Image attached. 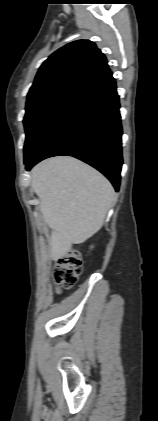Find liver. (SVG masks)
Returning a JSON list of instances; mask_svg holds the SVG:
<instances>
[{
  "label": "liver",
  "instance_id": "liver-1",
  "mask_svg": "<svg viewBox=\"0 0 158 421\" xmlns=\"http://www.w3.org/2000/svg\"><path fill=\"white\" fill-rule=\"evenodd\" d=\"M32 189L51 228L53 260L64 257L72 244H81L103 226L114 201V188L97 170L71 157H55L37 164Z\"/></svg>",
  "mask_w": 158,
  "mask_h": 421
}]
</instances>
